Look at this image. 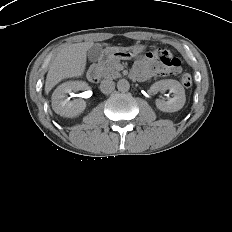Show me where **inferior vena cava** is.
<instances>
[{"label":"inferior vena cava","mask_w":232,"mask_h":232,"mask_svg":"<svg viewBox=\"0 0 232 232\" xmlns=\"http://www.w3.org/2000/svg\"><path fill=\"white\" fill-rule=\"evenodd\" d=\"M115 89V83L111 79L103 80L100 84V90L104 94H109Z\"/></svg>","instance_id":"inferior-vena-cava-1"}]
</instances>
